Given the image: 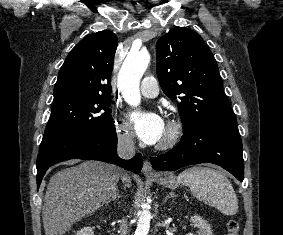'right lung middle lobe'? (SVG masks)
I'll return each instance as SVG.
<instances>
[{"instance_id":"right-lung-middle-lobe-1","label":"right lung middle lobe","mask_w":283,"mask_h":235,"mask_svg":"<svg viewBox=\"0 0 283 235\" xmlns=\"http://www.w3.org/2000/svg\"><path fill=\"white\" fill-rule=\"evenodd\" d=\"M110 96L71 97L52 105L39 152L43 153L62 142L94 136L114 128Z\"/></svg>"}]
</instances>
